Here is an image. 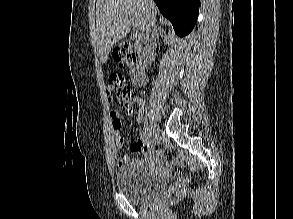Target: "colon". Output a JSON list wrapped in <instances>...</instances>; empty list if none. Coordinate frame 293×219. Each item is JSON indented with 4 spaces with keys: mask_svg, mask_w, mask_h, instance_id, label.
I'll return each instance as SVG.
<instances>
[{
    "mask_svg": "<svg viewBox=\"0 0 293 219\" xmlns=\"http://www.w3.org/2000/svg\"><path fill=\"white\" fill-rule=\"evenodd\" d=\"M137 54L128 46L122 45L115 48L112 52V60L120 64L121 67L131 69L137 62ZM109 89L113 92L121 109L130 114L134 110L133 101L135 91L129 84L125 75L121 73L111 74L108 80ZM188 193L186 189L180 190L178 196H184Z\"/></svg>",
    "mask_w": 293,
    "mask_h": 219,
    "instance_id": "obj_1",
    "label": "colon"
}]
</instances>
